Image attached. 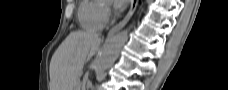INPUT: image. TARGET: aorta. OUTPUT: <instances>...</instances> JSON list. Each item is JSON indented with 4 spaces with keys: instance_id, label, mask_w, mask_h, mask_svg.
<instances>
[{
    "instance_id": "1",
    "label": "aorta",
    "mask_w": 228,
    "mask_h": 90,
    "mask_svg": "<svg viewBox=\"0 0 228 90\" xmlns=\"http://www.w3.org/2000/svg\"><path fill=\"white\" fill-rule=\"evenodd\" d=\"M128 31L129 30H124L116 35L110 36L106 40L94 67L97 76L101 75L115 62L121 48L128 39Z\"/></svg>"
}]
</instances>
